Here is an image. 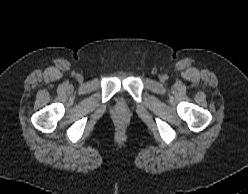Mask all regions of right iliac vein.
Masks as SVG:
<instances>
[{
  "instance_id": "63e3f726",
  "label": "right iliac vein",
  "mask_w": 248,
  "mask_h": 194,
  "mask_svg": "<svg viewBox=\"0 0 248 194\" xmlns=\"http://www.w3.org/2000/svg\"><path fill=\"white\" fill-rule=\"evenodd\" d=\"M79 80H82V78L79 76Z\"/></svg>"
}]
</instances>
